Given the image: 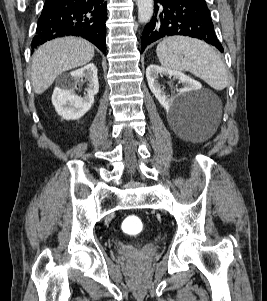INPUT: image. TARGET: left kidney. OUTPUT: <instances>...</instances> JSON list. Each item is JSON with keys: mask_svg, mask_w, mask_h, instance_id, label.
I'll return each instance as SVG.
<instances>
[{"mask_svg": "<svg viewBox=\"0 0 267 301\" xmlns=\"http://www.w3.org/2000/svg\"><path fill=\"white\" fill-rule=\"evenodd\" d=\"M160 76H170L174 79H179L183 84V88H180L177 92L178 95L186 94L200 89V84L194 79L188 77L180 71L171 70L165 67H160L158 65H149L146 69V78L148 81L149 88L151 92L155 95L161 106L165 109H172L176 96H168L162 89L158 82Z\"/></svg>", "mask_w": 267, "mask_h": 301, "instance_id": "left-kidney-1", "label": "left kidney"}]
</instances>
